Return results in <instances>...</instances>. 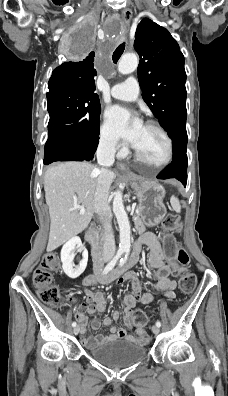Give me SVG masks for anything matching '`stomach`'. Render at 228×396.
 Listing matches in <instances>:
<instances>
[{
    "label": "stomach",
    "instance_id": "1",
    "mask_svg": "<svg viewBox=\"0 0 228 396\" xmlns=\"http://www.w3.org/2000/svg\"><path fill=\"white\" fill-rule=\"evenodd\" d=\"M131 187L138 197V216L146 226L158 224L166 214L163 203L165 189L155 181L142 180L137 176L128 177Z\"/></svg>",
    "mask_w": 228,
    "mask_h": 396
}]
</instances>
